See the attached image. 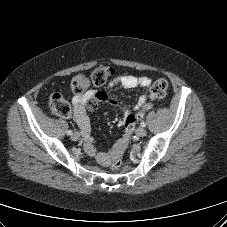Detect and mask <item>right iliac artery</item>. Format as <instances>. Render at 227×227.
Masks as SVG:
<instances>
[{
	"label": "right iliac artery",
	"instance_id": "obj_1",
	"mask_svg": "<svg viewBox=\"0 0 227 227\" xmlns=\"http://www.w3.org/2000/svg\"><path fill=\"white\" fill-rule=\"evenodd\" d=\"M72 134H73L72 130L67 131V135H72Z\"/></svg>",
	"mask_w": 227,
	"mask_h": 227
}]
</instances>
